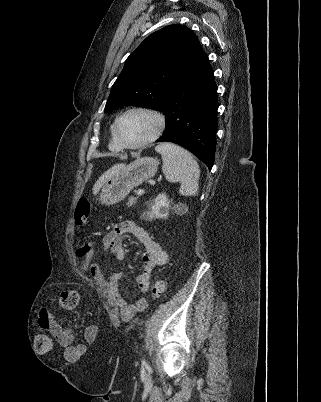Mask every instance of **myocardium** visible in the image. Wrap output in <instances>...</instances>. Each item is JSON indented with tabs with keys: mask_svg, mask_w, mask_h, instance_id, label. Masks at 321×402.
Here are the masks:
<instances>
[{
	"mask_svg": "<svg viewBox=\"0 0 321 402\" xmlns=\"http://www.w3.org/2000/svg\"><path fill=\"white\" fill-rule=\"evenodd\" d=\"M135 112H141V113H145V114L152 116L156 121V129L151 136L144 139L143 141L136 143V144H128L123 141V139L121 138V136L119 134V124L125 116H127L131 113H135ZM165 128H166V119H165V116L160 111H158L154 108L148 107V106L138 105V106H133V107L127 108L126 110H124L122 113H120L117 116V118L115 119L114 124H113V133H114L116 141L118 142V144L120 145V147L122 149L137 150V149L145 148L148 145L155 142L162 135Z\"/></svg>",
	"mask_w": 321,
	"mask_h": 402,
	"instance_id": "f54148a6",
	"label": "myocardium"
}]
</instances>
